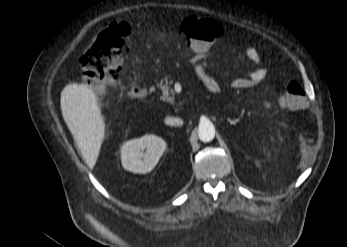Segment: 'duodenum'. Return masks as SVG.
<instances>
[{
  "mask_svg": "<svg viewBox=\"0 0 347 247\" xmlns=\"http://www.w3.org/2000/svg\"><path fill=\"white\" fill-rule=\"evenodd\" d=\"M150 88L142 85H134L130 91L129 95L134 98H145L150 94Z\"/></svg>",
  "mask_w": 347,
  "mask_h": 247,
  "instance_id": "obj_1",
  "label": "duodenum"
}]
</instances>
